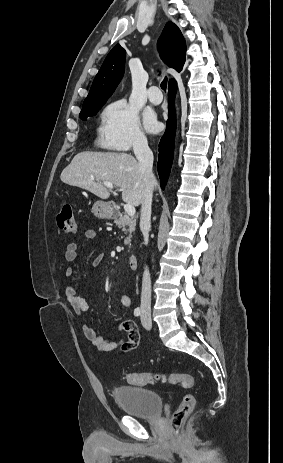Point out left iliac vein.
Listing matches in <instances>:
<instances>
[{"label":"left iliac vein","instance_id":"4c4485c4","mask_svg":"<svg viewBox=\"0 0 283 463\" xmlns=\"http://www.w3.org/2000/svg\"><path fill=\"white\" fill-rule=\"evenodd\" d=\"M141 322L144 328L150 329L152 326L151 315L149 312H143L141 315Z\"/></svg>","mask_w":283,"mask_h":463}]
</instances>
